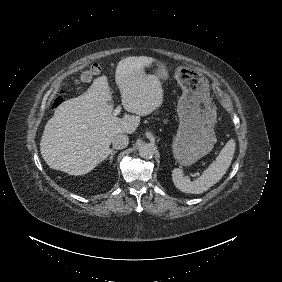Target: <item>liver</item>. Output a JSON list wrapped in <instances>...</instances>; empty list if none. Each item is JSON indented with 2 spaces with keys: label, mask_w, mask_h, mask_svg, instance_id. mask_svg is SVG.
Segmentation results:
<instances>
[{
  "label": "liver",
  "mask_w": 282,
  "mask_h": 282,
  "mask_svg": "<svg viewBox=\"0 0 282 282\" xmlns=\"http://www.w3.org/2000/svg\"><path fill=\"white\" fill-rule=\"evenodd\" d=\"M149 57L121 59L114 75L122 106L137 115L111 117L110 87L105 77L94 82L83 95L63 102L46 123L40 150L52 168L72 175H82L99 164L112 138L131 133L140 117L161 104L162 90L155 77H145L141 66Z\"/></svg>",
  "instance_id": "6515ba94"
}]
</instances>
